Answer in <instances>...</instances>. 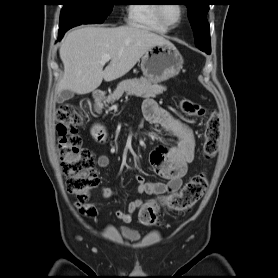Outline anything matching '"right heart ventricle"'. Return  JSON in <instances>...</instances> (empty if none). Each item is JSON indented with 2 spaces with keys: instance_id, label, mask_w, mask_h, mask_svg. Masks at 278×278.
<instances>
[{
  "instance_id": "e07e8e85",
  "label": "right heart ventricle",
  "mask_w": 278,
  "mask_h": 278,
  "mask_svg": "<svg viewBox=\"0 0 278 278\" xmlns=\"http://www.w3.org/2000/svg\"><path fill=\"white\" fill-rule=\"evenodd\" d=\"M156 9V4H132L128 8V21L133 26L164 34L167 32V28L159 21Z\"/></svg>"
}]
</instances>
